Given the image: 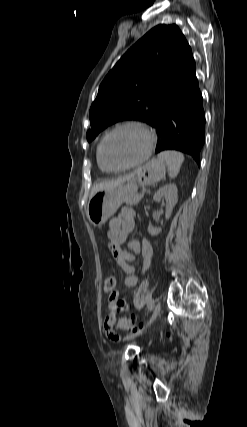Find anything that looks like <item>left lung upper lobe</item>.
<instances>
[{"label":"left lung upper lobe","mask_w":247,"mask_h":427,"mask_svg":"<svg viewBox=\"0 0 247 427\" xmlns=\"http://www.w3.org/2000/svg\"><path fill=\"white\" fill-rule=\"evenodd\" d=\"M190 46L179 27L158 25L136 42L100 84L90 108L92 141L107 126L121 120L153 125L168 96L195 73Z\"/></svg>","instance_id":"5c2ea615"}]
</instances>
